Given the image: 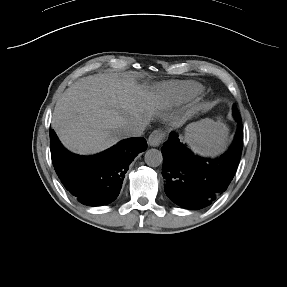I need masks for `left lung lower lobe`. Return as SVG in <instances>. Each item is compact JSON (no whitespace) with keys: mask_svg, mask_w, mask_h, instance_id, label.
I'll return each instance as SVG.
<instances>
[{"mask_svg":"<svg viewBox=\"0 0 287 287\" xmlns=\"http://www.w3.org/2000/svg\"><path fill=\"white\" fill-rule=\"evenodd\" d=\"M235 118L238 130L234 142L223 156L215 160L194 156L179 141L177 134H170L161 152L165 155L162 168L164 191L171 201L186 209H201L227 189L240 161L243 145L241 117Z\"/></svg>","mask_w":287,"mask_h":287,"instance_id":"1","label":"left lung lower lobe"}]
</instances>
